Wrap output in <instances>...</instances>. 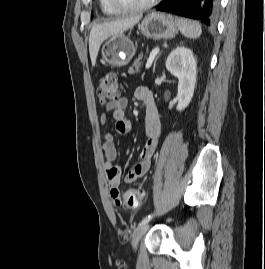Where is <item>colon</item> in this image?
Returning <instances> with one entry per match:
<instances>
[{
  "label": "colon",
  "mask_w": 265,
  "mask_h": 269,
  "mask_svg": "<svg viewBox=\"0 0 265 269\" xmlns=\"http://www.w3.org/2000/svg\"><path fill=\"white\" fill-rule=\"evenodd\" d=\"M97 95L101 103L107 104L118 99L117 75L115 72L107 73L98 86ZM143 194L138 189H128L117 193L119 204L124 207H137L142 201Z\"/></svg>",
  "instance_id": "colon-1"
}]
</instances>
